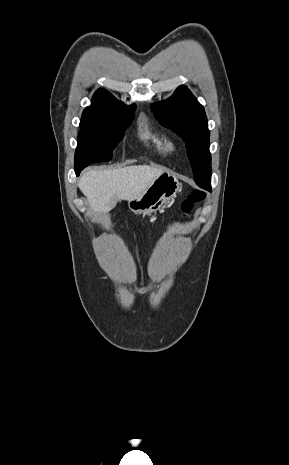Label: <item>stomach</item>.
<instances>
[{
	"label": "stomach",
	"mask_w": 289,
	"mask_h": 465,
	"mask_svg": "<svg viewBox=\"0 0 289 465\" xmlns=\"http://www.w3.org/2000/svg\"><path fill=\"white\" fill-rule=\"evenodd\" d=\"M181 188L182 184L176 177L163 172L150 183L144 192L130 199L128 207L135 214L151 215L174 199Z\"/></svg>",
	"instance_id": "1"
}]
</instances>
